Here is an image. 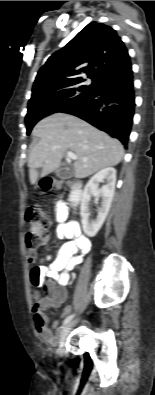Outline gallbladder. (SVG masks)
Returning <instances> with one entry per match:
<instances>
[{"mask_svg":"<svg viewBox=\"0 0 155 395\" xmlns=\"http://www.w3.org/2000/svg\"><path fill=\"white\" fill-rule=\"evenodd\" d=\"M56 176L59 178H68L72 175V170L71 168L68 167H62L60 169H58L56 172Z\"/></svg>","mask_w":155,"mask_h":395,"instance_id":"obj_1","label":"gallbladder"}]
</instances>
